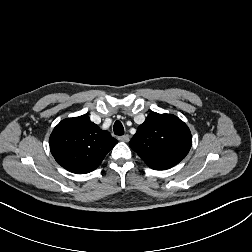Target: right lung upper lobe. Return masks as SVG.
I'll return each instance as SVG.
<instances>
[{"mask_svg":"<svg viewBox=\"0 0 252 252\" xmlns=\"http://www.w3.org/2000/svg\"><path fill=\"white\" fill-rule=\"evenodd\" d=\"M116 144L108 131L101 130L86 115L62 120L49 139L55 160L77 174L95 170Z\"/></svg>","mask_w":252,"mask_h":252,"instance_id":"obj_1","label":"right lung upper lobe"}]
</instances>
